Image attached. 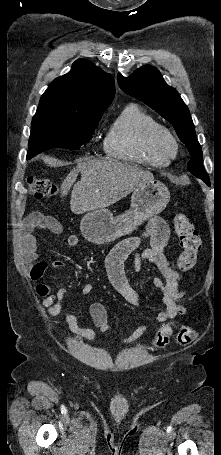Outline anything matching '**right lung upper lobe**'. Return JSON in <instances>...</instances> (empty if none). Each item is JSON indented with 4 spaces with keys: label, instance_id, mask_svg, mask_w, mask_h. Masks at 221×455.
<instances>
[{
    "label": "right lung upper lobe",
    "instance_id": "right-lung-upper-lobe-1",
    "mask_svg": "<svg viewBox=\"0 0 221 455\" xmlns=\"http://www.w3.org/2000/svg\"><path fill=\"white\" fill-rule=\"evenodd\" d=\"M115 95L113 77L93 63L79 59L69 73L56 78L41 96L38 110L64 115L105 111Z\"/></svg>",
    "mask_w": 221,
    "mask_h": 455
}]
</instances>
